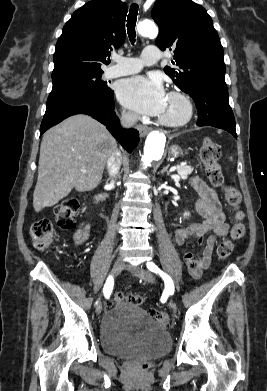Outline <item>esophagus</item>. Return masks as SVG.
Masks as SVG:
<instances>
[{"mask_svg": "<svg viewBox=\"0 0 267 391\" xmlns=\"http://www.w3.org/2000/svg\"><path fill=\"white\" fill-rule=\"evenodd\" d=\"M136 1L140 4L142 0H136ZM138 130H139L140 136L144 137L150 131V127L140 125L138 127Z\"/></svg>", "mask_w": 267, "mask_h": 391, "instance_id": "1", "label": "esophagus"}]
</instances>
